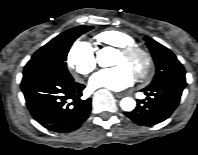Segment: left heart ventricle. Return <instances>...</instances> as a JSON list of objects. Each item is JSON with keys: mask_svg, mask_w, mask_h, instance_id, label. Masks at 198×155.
<instances>
[{"mask_svg": "<svg viewBox=\"0 0 198 155\" xmlns=\"http://www.w3.org/2000/svg\"><path fill=\"white\" fill-rule=\"evenodd\" d=\"M140 60L135 59V60H129L122 56L120 53L117 54V57L115 59V65H120V64H126L128 65L133 71H135V68L137 64H139Z\"/></svg>", "mask_w": 198, "mask_h": 155, "instance_id": "obj_1", "label": "left heart ventricle"}]
</instances>
